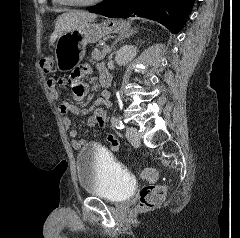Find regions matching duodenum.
<instances>
[{
    "mask_svg": "<svg viewBox=\"0 0 240 238\" xmlns=\"http://www.w3.org/2000/svg\"><path fill=\"white\" fill-rule=\"evenodd\" d=\"M100 81H101L102 86L104 87V91L107 92V88L110 85V77H109V75L106 72H103L100 75Z\"/></svg>",
    "mask_w": 240,
    "mask_h": 238,
    "instance_id": "410a0bca",
    "label": "duodenum"
}]
</instances>
